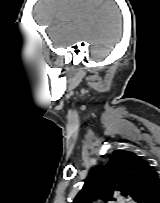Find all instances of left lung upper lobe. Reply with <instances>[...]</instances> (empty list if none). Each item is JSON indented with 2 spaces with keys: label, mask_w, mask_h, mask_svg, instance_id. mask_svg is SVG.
<instances>
[{
  "label": "left lung upper lobe",
  "mask_w": 160,
  "mask_h": 203,
  "mask_svg": "<svg viewBox=\"0 0 160 203\" xmlns=\"http://www.w3.org/2000/svg\"><path fill=\"white\" fill-rule=\"evenodd\" d=\"M160 181L152 166L133 152L116 150L106 165L97 166L72 203H91L104 194L106 200L120 193L137 203H149Z\"/></svg>",
  "instance_id": "left-lung-upper-lobe-1"
}]
</instances>
